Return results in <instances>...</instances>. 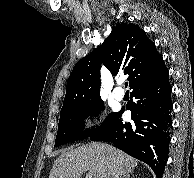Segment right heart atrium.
I'll use <instances>...</instances> for the list:
<instances>
[{
  "mask_svg": "<svg viewBox=\"0 0 194 178\" xmlns=\"http://www.w3.org/2000/svg\"><path fill=\"white\" fill-rule=\"evenodd\" d=\"M99 125V117L96 113H91L85 118L86 128L92 129Z\"/></svg>",
  "mask_w": 194,
  "mask_h": 178,
  "instance_id": "1",
  "label": "right heart atrium"
}]
</instances>
